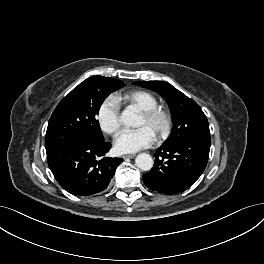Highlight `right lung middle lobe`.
Here are the masks:
<instances>
[{"label": "right lung middle lobe", "mask_w": 264, "mask_h": 264, "mask_svg": "<svg viewBox=\"0 0 264 264\" xmlns=\"http://www.w3.org/2000/svg\"><path fill=\"white\" fill-rule=\"evenodd\" d=\"M123 86V81L94 76L75 87L50 118L45 136L46 152L75 142H104L96 115L104 99Z\"/></svg>", "instance_id": "dd1d6c3e"}]
</instances>
